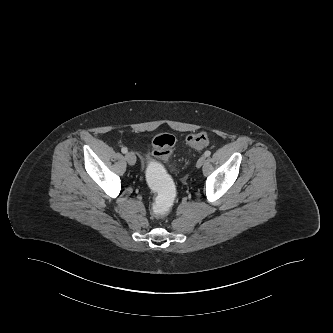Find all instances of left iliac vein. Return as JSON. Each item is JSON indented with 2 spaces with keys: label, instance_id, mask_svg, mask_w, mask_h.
<instances>
[{
  "label": "left iliac vein",
  "instance_id": "obj_1",
  "mask_svg": "<svg viewBox=\"0 0 333 333\" xmlns=\"http://www.w3.org/2000/svg\"><path fill=\"white\" fill-rule=\"evenodd\" d=\"M206 161V158L204 156L200 157L196 163V166L200 168Z\"/></svg>",
  "mask_w": 333,
  "mask_h": 333
}]
</instances>
